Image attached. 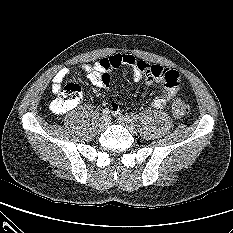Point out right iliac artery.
<instances>
[{
    "mask_svg": "<svg viewBox=\"0 0 233 233\" xmlns=\"http://www.w3.org/2000/svg\"><path fill=\"white\" fill-rule=\"evenodd\" d=\"M109 113H110V110H109L108 108H105V109H103V111H102V116H103V117H107V116L109 115Z\"/></svg>",
    "mask_w": 233,
    "mask_h": 233,
    "instance_id": "right-iliac-artery-1",
    "label": "right iliac artery"
}]
</instances>
